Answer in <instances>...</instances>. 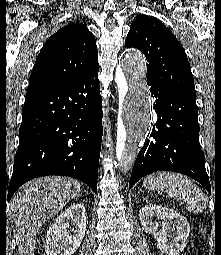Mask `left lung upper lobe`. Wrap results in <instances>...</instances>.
I'll list each match as a JSON object with an SVG mask.
<instances>
[{
  "label": "left lung upper lobe",
  "mask_w": 221,
  "mask_h": 255,
  "mask_svg": "<svg viewBox=\"0 0 221 255\" xmlns=\"http://www.w3.org/2000/svg\"><path fill=\"white\" fill-rule=\"evenodd\" d=\"M125 46L137 48L146 56L147 84L196 100L194 79L184 49L160 20L138 15L131 24Z\"/></svg>",
  "instance_id": "obj_1"
}]
</instances>
